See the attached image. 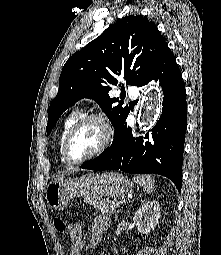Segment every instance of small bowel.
<instances>
[{
	"label": "small bowel",
	"instance_id": "obj_1",
	"mask_svg": "<svg viewBox=\"0 0 221 255\" xmlns=\"http://www.w3.org/2000/svg\"><path fill=\"white\" fill-rule=\"evenodd\" d=\"M111 225V220L108 216H97L92 224L91 232L89 235L88 244L91 248H95L102 238L104 230L108 229ZM79 229V228H78ZM71 250L70 255H81L84 247L82 232L79 229L76 234L70 235Z\"/></svg>",
	"mask_w": 221,
	"mask_h": 255
}]
</instances>
